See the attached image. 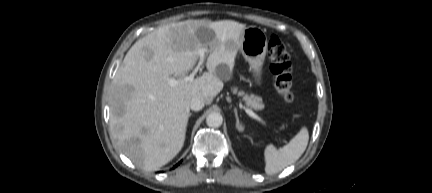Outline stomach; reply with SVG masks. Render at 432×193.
Returning a JSON list of instances; mask_svg holds the SVG:
<instances>
[{
    "label": "stomach",
    "mask_w": 432,
    "mask_h": 193,
    "mask_svg": "<svg viewBox=\"0 0 432 193\" xmlns=\"http://www.w3.org/2000/svg\"><path fill=\"white\" fill-rule=\"evenodd\" d=\"M268 48V39L264 30L255 26L246 27L240 37V50L249 63L256 84L261 83L262 66Z\"/></svg>",
    "instance_id": "1"
}]
</instances>
